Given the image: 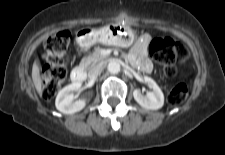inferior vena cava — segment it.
Returning <instances> with one entry per match:
<instances>
[{
	"label": "inferior vena cava",
	"instance_id": "1",
	"mask_svg": "<svg viewBox=\"0 0 225 155\" xmlns=\"http://www.w3.org/2000/svg\"><path fill=\"white\" fill-rule=\"evenodd\" d=\"M103 70V64L99 63L97 65L92 66L88 71V76L90 79H96L97 76L101 73Z\"/></svg>",
	"mask_w": 225,
	"mask_h": 155
}]
</instances>
